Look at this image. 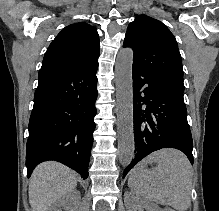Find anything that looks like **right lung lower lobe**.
Wrapping results in <instances>:
<instances>
[{"instance_id": "1", "label": "right lung lower lobe", "mask_w": 219, "mask_h": 211, "mask_svg": "<svg viewBox=\"0 0 219 211\" xmlns=\"http://www.w3.org/2000/svg\"><path fill=\"white\" fill-rule=\"evenodd\" d=\"M98 63L40 69L29 122L26 166L56 160L88 177L96 115Z\"/></svg>"}]
</instances>
